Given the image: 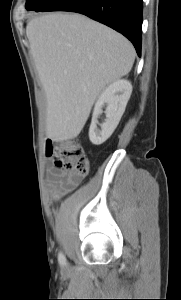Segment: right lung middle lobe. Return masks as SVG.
Segmentation results:
<instances>
[{
	"instance_id": "dd1d6c3e",
	"label": "right lung middle lobe",
	"mask_w": 181,
	"mask_h": 300,
	"mask_svg": "<svg viewBox=\"0 0 181 300\" xmlns=\"http://www.w3.org/2000/svg\"><path fill=\"white\" fill-rule=\"evenodd\" d=\"M55 0H27L26 1V9L32 10V11H42L44 8H46L48 5L53 3Z\"/></svg>"
}]
</instances>
